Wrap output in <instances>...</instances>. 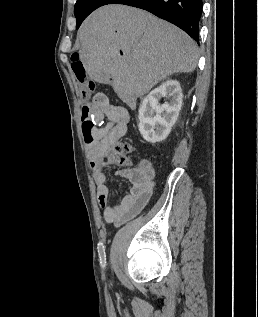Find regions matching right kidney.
Segmentation results:
<instances>
[{
  "label": "right kidney",
  "mask_w": 258,
  "mask_h": 317,
  "mask_svg": "<svg viewBox=\"0 0 258 317\" xmlns=\"http://www.w3.org/2000/svg\"><path fill=\"white\" fill-rule=\"evenodd\" d=\"M161 96H169V102L160 104ZM182 88L178 80H165L151 90L139 106V130L148 142H160L167 138L176 122L182 106Z\"/></svg>",
  "instance_id": "right-kidney-1"
}]
</instances>
